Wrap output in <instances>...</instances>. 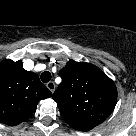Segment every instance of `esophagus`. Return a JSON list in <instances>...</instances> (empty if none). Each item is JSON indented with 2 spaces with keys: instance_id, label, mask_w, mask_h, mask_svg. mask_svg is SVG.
Wrapping results in <instances>:
<instances>
[{
  "instance_id": "esophagus-1",
  "label": "esophagus",
  "mask_w": 136,
  "mask_h": 136,
  "mask_svg": "<svg viewBox=\"0 0 136 136\" xmlns=\"http://www.w3.org/2000/svg\"><path fill=\"white\" fill-rule=\"evenodd\" d=\"M46 87L53 93L56 89V85L53 81H49L47 84H46Z\"/></svg>"
}]
</instances>
